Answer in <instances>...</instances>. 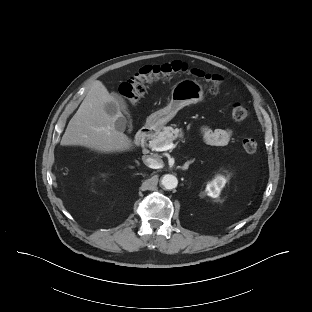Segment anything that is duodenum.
I'll return each mask as SVG.
<instances>
[{"instance_id":"duodenum-1","label":"duodenum","mask_w":312,"mask_h":312,"mask_svg":"<svg viewBox=\"0 0 312 312\" xmlns=\"http://www.w3.org/2000/svg\"><path fill=\"white\" fill-rule=\"evenodd\" d=\"M155 134V127L147 125L143 127L135 136V144L141 146L145 144Z\"/></svg>"}]
</instances>
